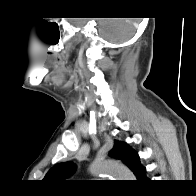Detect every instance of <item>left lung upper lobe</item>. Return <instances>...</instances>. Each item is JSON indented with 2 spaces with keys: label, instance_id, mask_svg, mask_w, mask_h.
Masks as SVG:
<instances>
[{
  "label": "left lung upper lobe",
  "instance_id": "5c2ea615",
  "mask_svg": "<svg viewBox=\"0 0 196 196\" xmlns=\"http://www.w3.org/2000/svg\"><path fill=\"white\" fill-rule=\"evenodd\" d=\"M109 155L112 158L121 160L130 168L131 171L134 170L138 154L132 148L127 146L125 142H119L115 140L114 146ZM74 170L75 165L71 162L56 164L48 171L43 180L48 182L61 181L73 173Z\"/></svg>",
  "mask_w": 196,
  "mask_h": 196
}]
</instances>
